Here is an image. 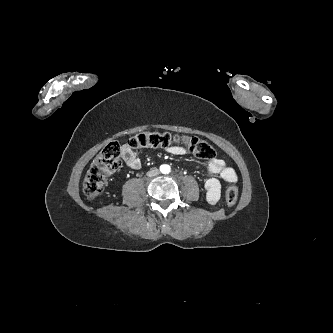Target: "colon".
I'll return each instance as SVG.
<instances>
[{
    "mask_svg": "<svg viewBox=\"0 0 333 333\" xmlns=\"http://www.w3.org/2000/svg\"><path fill=\"white\" fill-rule=\"evenodd\" d=\"M171 144L185 146L190 153L201 160L210 161L216 155L213 147L198 137L180 136L166 132H142L131 137L125 145L133 150L161 148ZM121 152L122 146L118 142H111L95 158L83 182V191L89 200H94L99 196L107 177L121 167ZM237 198L238 188L234 183H230L226 190L227 205L233 207Z\"/></svg>",
    "mask_w": 333,
    "mask_h": 333,
    "instance_id": "obj_1",
    "label": "colon"
}]
</instances>
